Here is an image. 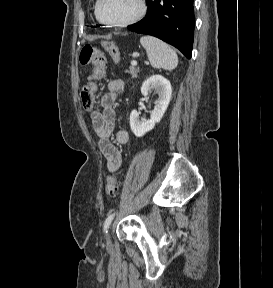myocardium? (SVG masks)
<instances>
[{
    "mask_svg": "<svg viewBox=\"0 0 273 288\" xmlns=\"http://www.w3.org/2000/svg\"><path fill=\"white\" fill-rule=\"evenodd\" d=\"M102 2H103V0H97L96 6H95V15H96V18L98 19V21L107 27H126V26H129V25L139 21L146 14V11H147L146 0H138V4H139L138 11L132 17H130L126 20H123V21L108 22V21L104 20L100 14V8H101Z\"/></svg>",
    "mask_w": 273,
    "mask_h": 288,
    "instance_id": "1",
    "label": "myocardium"
}]
</instances>
